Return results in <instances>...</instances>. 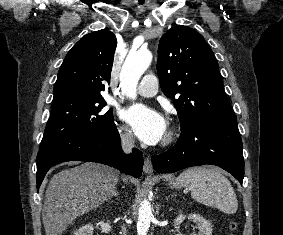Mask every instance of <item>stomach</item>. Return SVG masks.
<instances>
[{
    "mask_svg": "<svg viewBox=\"0 0 283 235\" xmlns=\"http://www.w3.org/2000/svg\"><path fill=\"white\" fill-rule=\"evenodd\" d=\"M169 185H170L171 187H175V186L177 185L176 180L171 179V180L169 181Z\"/></svg>",
    "mask_w": 283,
    "mask_h": 235,
    "instance_id": "1",
    "label": "stomach"
}]
</instances>
